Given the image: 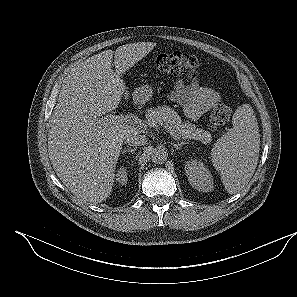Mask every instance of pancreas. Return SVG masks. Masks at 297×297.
Returning <instances> with one entry per match:
<instances>
[{"label":"pancreas","instance_id":"cf45deb5","mask_svg":"<svg viewBox=\"0 0 297 297\" xmlns=\"http://www.w3.org/2000/svg\"><path fill=\"white\" fill-rule=\"evenodd\" d=\"M147 122L150 126L153 124L164 123L171 127L177 138L199 140L202 143H210L211 134L208 131L197 128L190 122H182L181 118L171 107L163 105L153 107L146 112Z\"/></svg>","mask_w":297,"mask_h":297}]
</instances>
